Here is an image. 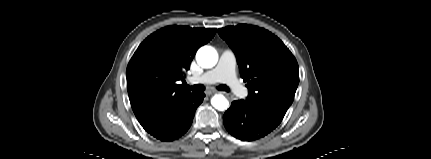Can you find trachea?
<instances>
[{
  "instance_id": "trachea-1",
  "label": "trachea",
  "mask_w": 431,
  "mask_h": 159,
  "mask_svg": "<svg viewBox=\"0 0 431 159\" xmlns=\"http://www.w3.org/2000/svg\"><path fill=\"white\" fill-rule=\"evenodd\" d=\"M186 88L190 89L193 93H202L205 90V87L202 84H196L193 86L185 85ZM218 90L221 91H229V88L226 85H219L217 87Z\"/></svg>"
}]
</instances>
